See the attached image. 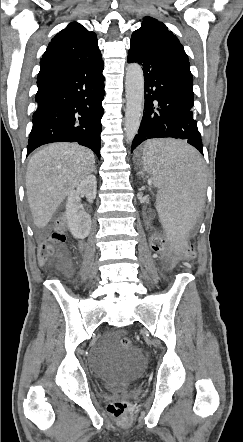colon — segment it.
I'll use <instances>...</instances> for the list:
<instances>
[{
  "instance_id": "5ec220e1",
  "label": "colon",
  "mask_w": 243,
  "mask_h": 442,
  "mask_svg": "<svg viewBox=\"0 0 243 442\" xmlns=\"http://www.w3.org/2000/svg\"><path fill=\"white\" fill-rule=\"evenodd\" d=\"M65 222L60 219L56 223V227L53 231L47 234L45 241L41 244L38 252L39 261L45 262L53 257L61 256V245L65 241V235L63 232ZM149 233L147 238L149 239L150 253L159 254L160 258H178L181 263H190L197 260L196 253H198L199 248L193 243H189L190 248L188 251H168L166 250V243L170 241L169 235L163 233L162 229L157 225H150L146 228ZM185 242H191V239H185ZM120 345L124 349H130L132 347V341L128 337H122L120 340ZM109 413L117 419H126L129 417L130 407L126 400L116 399L110 402L108 405Z\"/></svg>"
}]
</instances>
